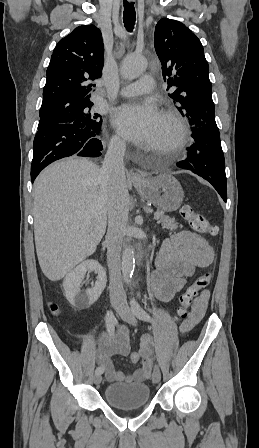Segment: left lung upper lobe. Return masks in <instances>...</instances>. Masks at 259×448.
Wrapping results in <instances>:
<instances>
[{
  "label": "left lung upper lobe",
  "mask_w": 259,
  "mask_h": 448,
  "mask_svg": "<svg viewBox=\"0 0 259 448\" xmlns=\"http://www.w3.org/2000/svg\"><path fill=\"white\" fill-rule=\"evenodd\" d=\"M154 45L180 113L188 120L215 122L209 65L198 37L183 23L166 18L155 27Z\"/></svg>",
  "instance_id": "5c2ea615"
}]
</instances>
